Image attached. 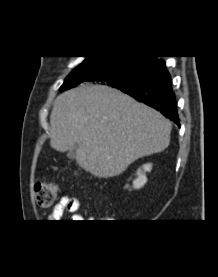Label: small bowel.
Here are the masks:
<instances>
[{"label": "small bowel", "mask_w": 218, "mask_h": 277, "mask_svg": "<svg viewBox=\"0 0 218 277\" xmlns=\"http://www.w3.org/2000/svg\"><path fill=\"white\" fill-rule=\"evenodd\" d=\"M79 206L80 202L78 198L69 195H62L57 204L48 214V222H59L66 213L70 214L72 219L77 220L76 222H82L81 220L84 219L83 216L76 213Z\"/></svg>", "instance_id": "obj_1"}]
</instances>
